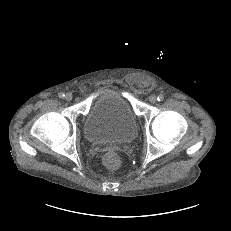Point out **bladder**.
I'll return each mask as SVG.
<instances>
[{
    "instance_id": "31cf9c89",
    "label": "bladder",
    "mask_w": 231,
    "mask_h": 231,
    "mask_svg": "<svg viewBox=\"0 0 231 231\" xmlns=\"http://www.w3.org/2000/svg\"><path fill=\"white\" fill-rule=\"evenodd\" d=\"M83 132L91 144L123 146L137 138L138 124L127 99L118 92L106 91L90 106Z\"/></svg>"
}]
</instances>
